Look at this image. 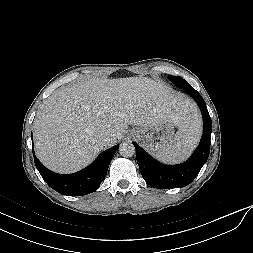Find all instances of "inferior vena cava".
Here are the masks:
<instances>
[{
    "mask_svg": "<svg viewBox=\"0 0 253 253\" xmlns=\"http://www.w3.org/2000/svg\"><path fill=\"white\" fill-rule=\"evenodd\" d=\"M101 143L106 144L111 139V134L109 132H101L99 135Z\"/></svg>",
    "mask_w": 253,
    "mask_h": 253,
    "instance_id": "1",
    "label": "inferior vena cava"
}]
</instances>
